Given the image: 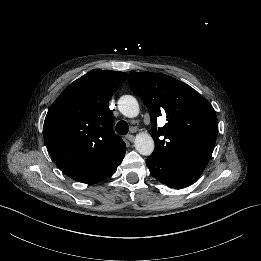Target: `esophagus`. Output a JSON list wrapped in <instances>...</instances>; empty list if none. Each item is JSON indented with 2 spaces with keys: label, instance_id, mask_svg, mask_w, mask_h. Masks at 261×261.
<instances>
[{
  "label": "esophagus",
  "instance_id": "obj_1",
  "mask_svg": "<svg viewBox=\"0 0 261 261\" xmlns=\"http://www.w3.org/2000/svg\"><path fill=\"white\" fill-rule=\"evenodd\" d=\"M126 138H127L130 142H133V141H134V135H132V134L126 135Z\"/></svg>",
  "mask_w": 261,
  "mask_h": 261
}]
</instances>
